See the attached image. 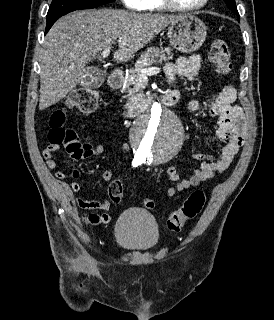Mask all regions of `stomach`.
Listing matches in <instances>:
<instances>
[{"mask_svg":"<svg viewBox=\"0 0 274 320\" xmlns=\"http://www.w3.org/2000/svg\"><path fill=\"white\" fill-rule=\"evenodd\" d=\"M168 36L175 50H179L182 54H190V52H196L204 44L207 30L202 20L192 14H186L170 24Z\"/></svg>","mask_w":274,"mask_h":320,"instance_id":"stomach-1","label":"stomach"}]
</instances>
